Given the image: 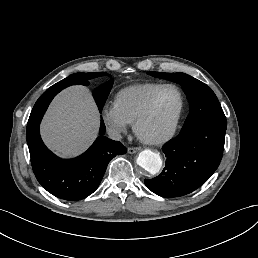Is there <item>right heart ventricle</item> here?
Wrapping results in <instances>:
<instances>
[{
	"label": "right heart ventricle",
	"instance_id": "e07e8e85",
	"mask_svg": "<svg viewBox=\"0 0 258 258\" xmlns=\"http://www.w3.org/2000/svg\"><path fill=\"white\" fill-rule=\"evenodd\" d=\"M159 86V84L146 83L124 88L117 93L114 104L128 123H134L148 97Z\"/></svg>",
	"mask_w": 258,
	"mask_h": 258
}]
</instances>
